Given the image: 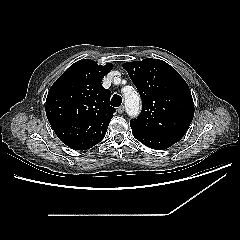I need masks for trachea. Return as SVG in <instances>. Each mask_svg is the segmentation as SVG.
<instances>
[{
  "label": "trachea",
  "mask_w": 240,
  "mask_h": 240,
  "mask_svg": "<svg viewBox=\"0 0 240 240\" xmlns=\"http://www.w3.org/2000/svg\"><path fill=\"white\" fill-rule=\"evenodd\" d=\"M121 103H122V97L117 94L113 95L110 104L113 107H119Z\"/></svg>",
  "instance_id": "1"
}]
</instances>
